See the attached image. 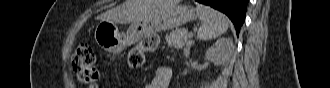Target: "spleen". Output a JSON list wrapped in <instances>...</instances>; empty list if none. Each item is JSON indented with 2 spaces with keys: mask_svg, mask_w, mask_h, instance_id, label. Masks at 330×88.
Returning <instances> with one entry per match:
<instances>
[{
  "mask_svg": "<svg viewBox=\"0 0 330 88\" xmlns=\"http://www.w3.org/2000/svg\"><path fill=\"white\" fill-rule=\"evenodd\" d=\"M196 10L202 21L197 33L198 39L205 41L215 39L227 31L229 20L223 13L201 4L197 5Z\"/></svg>",
  "mask_w": 330,
  "mask_h": 88,
  "instance_id": "1",
  "label": "spleen"
}]
</instances>
